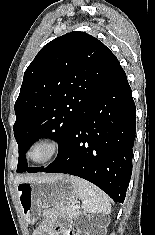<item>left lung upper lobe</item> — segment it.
Returning <instances> with one entry per match:
<instances>
[{"label":"left lung upper lobe","instance_id":"obj_1","mask_svg":"<svg viewBox=\"0 0 155 235\" xmlns=\"http://www.w3.org/2000/svg\"><path fill=\"white\" fill-rule=\"evenodd\" d=\"M101 41L74 31L46 44L24 73L15 103L14 136L19 147L17 172L28 167L25 153L42 137L55 139L59 151L95 95L118 65Z\"/></svg>","mask_w":155,"mask_h":235}]
</instances>
